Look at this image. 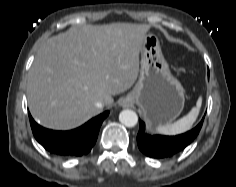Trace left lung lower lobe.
<instances>
[{"label": "left lung lower lobe", "instance_id": "0a47b994", "mask_svg": "<svg viewBox=\"0 0 236 187\" xmlns=\"http://www.w3.org/2000/svg\"><path fill=\"white\" fill-rule=\"evenodd\" d=\"M203 120L204 118L194 129L177 136L148 135L145 133V124L139 120L138 147L142 153L150 158L171 157L182 151L197 137Z\"/></svg>", "mask_w": 236, "mask_h": 187}]
</instances>
